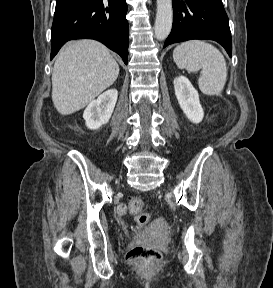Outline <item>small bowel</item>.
Masks as SVG:
<instances>
[{
	"label": "small bowel",
	"mask_w": 273,
	"mask_h": 288,
	"mask_svg": "<svg viewBox=\"0 0 273 288\" xmlns=\"http://www.w3.org/2000/svg\"><path fill=\"white\" fill-rule=\"evenodd\" d=\"M126 211H127V206L125 204H121L118 206V213L120 215L126 213Z\"/></svg>",
	"instance_id": "small-bowel-1"
}]
</instances>
